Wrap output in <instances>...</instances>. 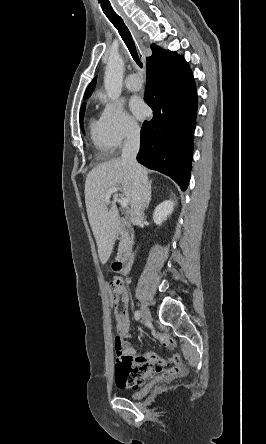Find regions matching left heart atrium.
<instances>
[{
  "instance_id": "39dd6f15",
  "label": "left heart atrium",
  "mask_w": 266,
  "mask_h": 444,
  "mask_svg": "<svg viewBox=\"0 0 266 444\" xmlns=\"http://www.w3.org/2000/svg\"><path fill=\"white\" fill-rule=\"evenodd\" d=\"M130 109L133 114L142 119L147 115L148 109L145 103L140 98H132L130 101Z\"/></svg>"
}]
</instances>
